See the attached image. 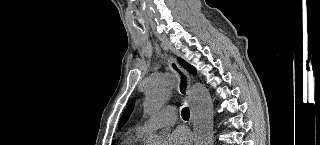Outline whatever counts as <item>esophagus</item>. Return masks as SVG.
I'll use <instances>...</instances> for the list:
<instances>
[{
  "mask_svg": "<svg viewBox=\"0 0 320 145\" xmlns=\"http://www.w3.org/2000/svg\"><path fill=\"white\" fill-rule=\"evenodd\" d=\"M169 67L171 71L176 75L178 79V91L182 96L189 98L190 94V86H191V79L189 74L179 66L177 61L170 57L168 59Z\"/></svg>",
  "mask_w": 320,
  "mask_h": 145,
  "instance_id": "1",
  "label": "esophagus"
}]
</instances>
